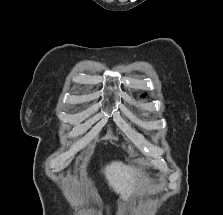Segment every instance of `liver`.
I'll list each match as a JSON object with an SVG mask.
<instances>
[{
  "instance_id": "6515ba94",
  "label": "liver",
  "mask_w": 223,
  "mask_h": 215,
  "mask_svg": "<svg viewBox=\"0 0 223 215\" xmlns=\"http://www.w3.org/2000/svg\"><path fill=\"white\" fill-rule=\"evenodd\" d=\"M104 173L108 179L109 185L113 187L116 193H120L122 199L128 201L131 193H135L138 185L144 183L147 185V177L144 181H140L137 175H140L138 169H134L131 165H124L122 161H111L110 165H106Z\"/></svg>"
}]
</instances>
